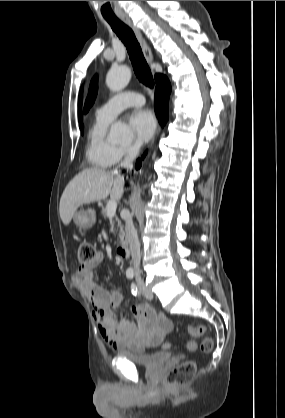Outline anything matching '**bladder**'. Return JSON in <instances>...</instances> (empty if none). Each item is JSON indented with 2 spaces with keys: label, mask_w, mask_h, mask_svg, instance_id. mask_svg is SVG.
<instances>
[{
  "label": "bladder",
  "mask_w": 285,
  "mask_h": 418,
  "mask_svg": "<svg viewBox=\"0 0 285 418\" xmlns=\"http://www.w3.org/2000/svg\"><path fill=\"white\" fill-rule=\"evenodd\" d=\"M117 355L125 356L136 365L146 368L161 365L170 358V354L165 351L137 352L129 347L120 348Z\"/></svg>",
  "instance_id": "obj_1"
}]
</instances>
